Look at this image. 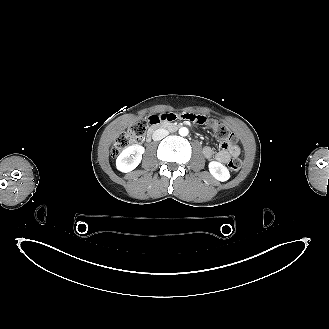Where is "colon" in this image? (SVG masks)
<instances>
[{
  "instance_id": "obj_1",
  "label": "colon",
  "mask_w": 329,
  "mask_h": 329,
  "mask_svg": "<svg viewBox=\"0 0 329 329\" xmlns=\"http://www.w3.org/2000/svg\"><path fill=\"white\" fill-rule=\"evenodd\" d=\"M147 126V121H140L121 133L113 146L112 156L116 157L122 150L140 141L146 132ZM211 127L216 137L222 141L224 146H229L236 141L235 134L224 124L213 121L211 122ZM227 167L230 171L236 172L241 167V160L237 157H233L228 162Z\"/></svg>"
}]
</instances>
